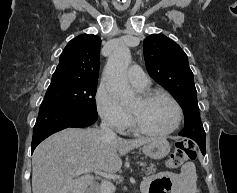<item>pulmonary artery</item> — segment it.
<instances>
[{
	"label": "pulmonary artery",
	"instance_id": "obj_1",
	"mask_svg": "<svg viewBox=\"0 0 237 193\" xmlns=\"http://www.w3.org/2000/svg\"><path fill=\"white\" fill-rule=\"evenodd\" d=\"M127 78L132 86L139 91L147 89L150 84L145 72L137 66H133L129 69Z\"/></svg>",
	"mask_w": 237,
	"mask_h": 193
}]
</instances>
